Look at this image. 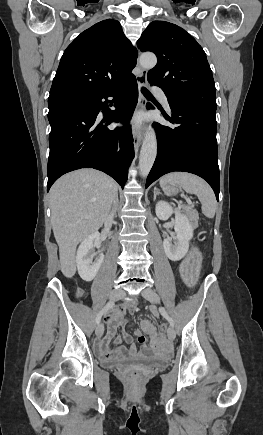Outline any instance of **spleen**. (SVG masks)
I'll use <instances>...</instances> for the list:
<instances>
[{
  "mask_svg": "<svg viewBox=\"0 0 263 435\" xmlns=\"http://www.w3.org/2000/svg\"><path fill=\"white\" fill-rule=\"evenodd\" d=\"M173 183L181 186L187 193L195 194L201 202L202 212L213 218L216 212V199L211 187L200 177L187 172H173L160 179V185Z\"/></svg>",
  "mask_w": 263,
  "mask_h": 435,
  "instance_id": "1",
  "label": "spleen"
}]
</instances>
